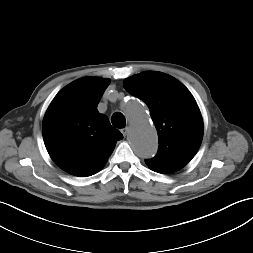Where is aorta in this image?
Listing matches in <instances>:
<instances>
[{
    "label": "aorta",
    "mask_w": 253,
    "mask_h": 253,
    "mask_svg": "<svg viewBox=\"0 0 253 253\" xmlns=\"http://www.w3.org/2000/svg\"><path fill=\"white\" fill-rule=\"evenodd\" d=\"M124 110L130 119L129 139L134 151L142 158L153 157L157 152L158 139L147 111L136 100L128 101Z\"/></svg>",
    "instance_id": "1"
}]
</instances>
